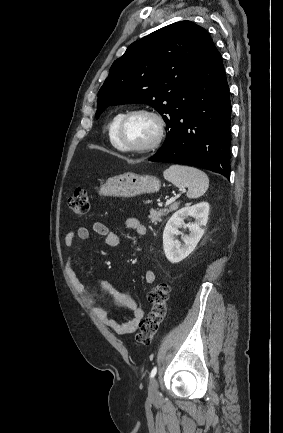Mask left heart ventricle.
<instances>
[{
    "mask_svg": "<svg viewBox=\"0 0 283 433\" xmlns=\"http://www.w3.org/2000/svg\"><path fill=\"white\" fill-rule=\"evenodd\" d=\"M158 124L146 114L132 116L122 132L124 142L129 146L141 147L150 144L157 136Z\"/></svg>",
    "mask_w": 283,
    "mask_h": 433,
    "instance_id": "b2bd125f",
    "label": "left heart ventricle"
}]
</instances>
